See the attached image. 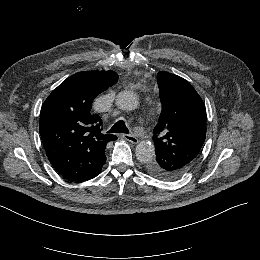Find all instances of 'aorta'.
<instances>
[{"mask_svg":"<svg viewBox=\"0 0 260 260\" xmlns=\"http://www.w3.org/2000/svg\"><path fill=\"white\" fill-rule=\"evenodd\" d=\"M116 105L124 111H131L138 107L139 99L132 91H121L116 97ZM137 159L142 163H148L155 156L154 145L147 140L140 141L135 150Z\"/></svg>","mask_w":260,"mask_h":260,"instance_id":"obj_1","label":"aorta"}]
</instances>
